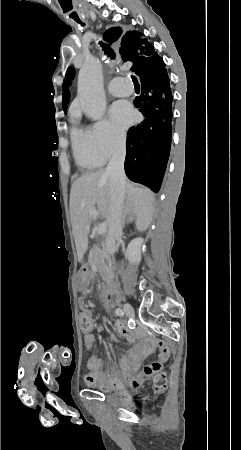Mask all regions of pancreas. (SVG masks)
<instances>
[{
  "label": "pancreas",
  "instance_id": "cf45deb5",
  "mask_svg": "<svg viewBox=\"0 0 241 450\" xmlns=\"http://www.w3.org/2000/svg\"><path fill=\"white\" fill-rule=\"evenodd\" d=\"M90 266H92L93 270H96V268H100V264L102 268H100L99 272L102 274V278L105 282V284H109L111 280V274L105 264V252L102 250V248H99V244L97 246H94L93 250L90 252V260H89Z\"/></svg>",
  "mask_w": 241,
  "mask_h": 450
}]
</instances>
